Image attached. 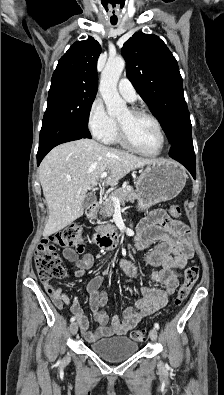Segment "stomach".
I'll use <instances>...</instances> for the list:
<instances>
[{
  "label": "stomach",
  "mask_w": 224,
  "mask_h": 395,
  "mask_svg": "<svg viewBox=\"0 0 224 395\" xmlns=\"http://www.w3.org/2000/svg\"><path fill=\"white\" fill-rule=\"evenodd\" d=\"M186 178L185 170L175 161L157 159L148 164L136 182L139 209L175 198L184 188Z\"/></svg>",
  "instance_id": "0dacf381"
}]
</instances>
